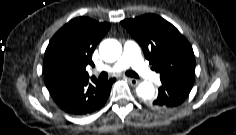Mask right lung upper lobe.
<instances>
[{
  "instance_id": "cb5924a9",
  "label": "right lung upper lobe",
  "mask_w": 236,
  "mask_h": 135,
  "mask_svg": "<svg viewBox=\"0 0 236 135\" xmlns=\"http://www.w3.org/2000/svg\"><path fill=\"white\" fill-rule=\"evenodd\" d=\"M110 29L87 17H77L66 23L50 40L44 55V75L55 71L89 77L86 66L94 65L92 53Z\"/></svg>"
}]
</instances>
